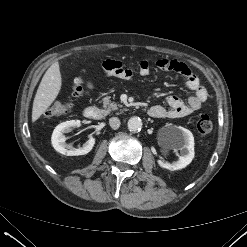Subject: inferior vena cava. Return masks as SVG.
Wrapping results in <instances>:
<instances>
[{"label": "inferior vena cava", "instance_id": "602c4592", "mask_svg": "<svg viewBox=\"0 0 247 247\" xmlns=\"http://www.w3.org/2000/svg\"><path fill=\"white\" fill-rule=\"evenodd\" d=\"M109 124L112 129H118L121 123L117 117H112L109 119Z\"/></svg>", "mask_w": 247, "mask_h": 247}]
</instances>
